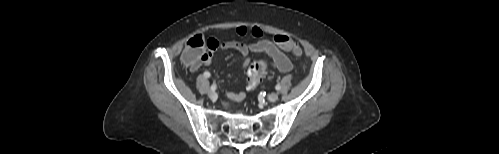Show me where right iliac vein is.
<instances>
[{"label":"right iliac vein","instance_id":"right-iliac-vein-1","mask_svg":"<svg viewBox=\"0 0 499 154\" xmlns=\"http://www.w3.org/2000/svg\"><path fill=\"white\" fill-rule=\"evenodd\" d=\"M208 96H209V98H210L211 100H216V99L218 98L217 93H216V92H214V91H210V92L208 93Z\"/></svg>","mask_w":499,"mask_h":154}]
</instances>
